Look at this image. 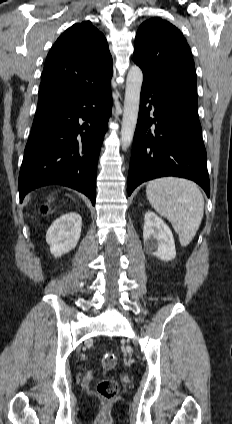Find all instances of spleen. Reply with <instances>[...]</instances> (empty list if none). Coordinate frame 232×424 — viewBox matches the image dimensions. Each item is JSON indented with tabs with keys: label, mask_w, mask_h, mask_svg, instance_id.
Listing matches in <instances>:
<instances>
[{
	"label": "spleen",
	"mask_w": 232,
	"mask_h": 424,
	"mask_svg": "<svg viewBox=\"0 0 232 424\" xmlns=\"http://www.w3.org/2000/svg\"><path fill=\"white\" fill-rule=\"evenodd\" d=\"M146 194L156 212L170 221L180 244L187 246L204 214V198L197 184L183 178L162 177L148 183Z\"/></svg>",
	"instance_id": "3e777b00"
}]
</instances>
